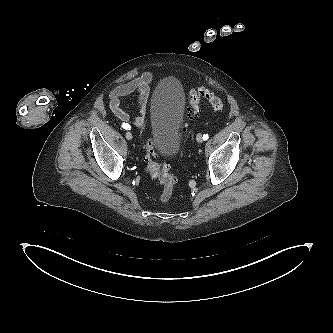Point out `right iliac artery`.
I'll return each mask as SVG.
<instances>
[{
    "label": "right iliac artery",
    "instance_id": "right-iliac-artery-1",
    "mask_svg": "<svg viewBox=\"0 0 333 333\" xmlns=\"http://www.w3.org/2000/svg\"><path fill=\"white\" fill-rule=\"evenodd\" d=\"M122 128L125 130H130L131 126L128 123H123Z\"/></svg>",
    "mask_w": 333,
    "mask_h": 333
}]
</instances>
